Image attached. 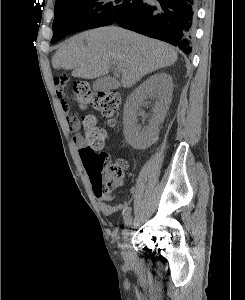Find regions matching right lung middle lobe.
<instances>
[{"label": "right lung middle lobe", "instance_id": "obj_1", "mask_svg": "<svg viewBox=\"0 0 245 300\" xmlns=\"http://www.w3.org/2000/svg\"><path fill=\"white\" fill-rule=\"evenodd\" d=\"M142 3L143 0H58L54 8L51 43L77 31L111 25ZM59 21H65L69 27L60 29L57 27Z\"/></svg>", "mask_w": 245, "mask_h": 300}]
</instances>
